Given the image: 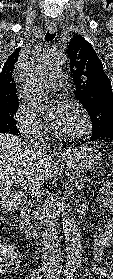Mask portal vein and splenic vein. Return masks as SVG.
I'll use <instances>...</instances> for the list:
<instances>
[{"label": "portal vein and splenic vein", "instance_id": "portal-vein-and-splenic-vein-1", "mask_svg": "<svg viewBox=\"0 0 113 279\" xmlns=\"http://www.w3.org/2000/svg\"><path fill=\"white\" fill-rule=\"evenodd\" d=\"M15 183L18 184L19 186H21L22 188L24 189H29L32 191L33 195L34 196H40L37 192V188L35 186H32V185H29V184H26V182L24 181V178L22 177H17L15 179Z\"/></svg>", "mask_w": 113, "mask_h": 279}]
</instances>
